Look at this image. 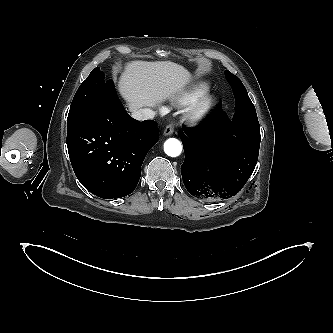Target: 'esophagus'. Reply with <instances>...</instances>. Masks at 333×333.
I'll use <instances>...</instances> for the list:
<instances>
[{"label": "esophagus", "instance_id": "esophagus-1", "mask_svg": "<svg viewBox=\"0 0 333 333\" xmlns=\"http://www.w3.org/2000/svg\"><path fill=\"white\" fill-rule=\"evenodd\" d=\"M173 132H174V126L172 124H170L164 129L163 134L165 136H169V135H172Z\"/></svg>", "mask_w": 333, "mask_h": 333}]
</instances>
